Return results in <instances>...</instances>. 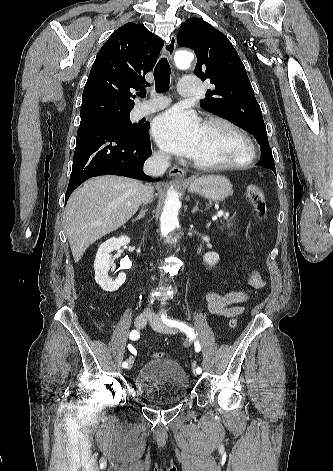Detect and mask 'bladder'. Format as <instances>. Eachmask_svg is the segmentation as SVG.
Listing matches in <instances>:
<instances>
[{"instance_id":"bladder-1","label":"bladder","mask_w":333,"mask_h":471,"mask_svg":"<svg viewBox=\"0 0 333 471\" xmlns=\"http://www.w3.org/2000/svg\"><path fill=\"white\" fill-rule=\"evenodd\" d=\"M137 397L152 405H173L188 394L190 381L185 369L171 358L145 362L135 376Z\"/></svg>"}]
</instances>
